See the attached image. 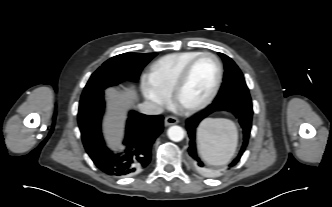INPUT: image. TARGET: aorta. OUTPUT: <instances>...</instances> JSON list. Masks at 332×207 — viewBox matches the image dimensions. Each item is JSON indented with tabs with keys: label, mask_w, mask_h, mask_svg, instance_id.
Here are the masks:
<instances>
[{
	"label": "aorta",
	"mask_w": 332,
	"mask_h": 207,
	"mask_svg": "<svg viewBox=\"0 0 332 207\" xmlns=\"http://www.w3.org/2000/svg\"><path fill=\"white\" fill-rule=\"evenodd\" d=\"M167 135L170 140H172L174 142H179V141L183 140L185 132L182 127L175 125V126H171L168 129Z\"/></svg>",
	"instance_id": "aorta-1"
}]
</instances>
